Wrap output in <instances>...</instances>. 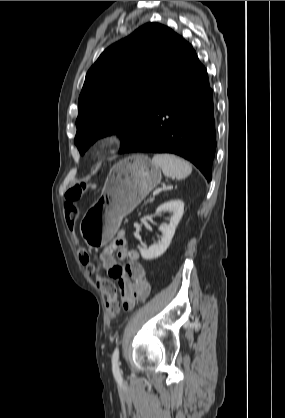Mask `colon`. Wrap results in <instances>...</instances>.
Here are the masks:
<instances>
[{
    "instance_id": "1",
    "label": "colon",
    "mask_w": 285,
    "mask_h": 418,
    "mask_svg": "<svg viewBox=\"0 0 285 418\" xmlns=\"http://www.w3.org/2000/svg\"><path fill=\"white\" fill-rule=\"evenodd\" d=\"M81 197V192L77 189H70L66 193V201H65V220L67 223V226L71 232L74 233L75 226L77 223V220L79 218V210L77 208V201ZM120 243L118 242L116 246L118 247ZM79 260L81 264L89 271L94 273H99V265L93 264L91 262V258L89 253L84 250H79ZM98 283L103 288L105 294H106V302L105 307L106 310L112 315L115 316L119 311V303L117 301L116 296V288L113 284V282L105 277H98ZM139 300H143L140 298ZM134 305L133 301H126L123 304V307L125 309H131Z\"/></svg>"
}]
</instances>
